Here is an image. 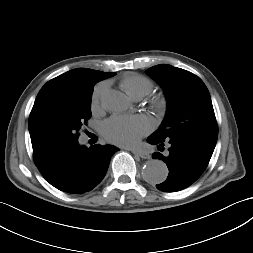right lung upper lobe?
Listing matches in <instances>:
<instances>
[{
	"label": "right lung upper lobe",
	"instance_id": "1",
	"mask_svg": "<svg viewBox=\"0 0 253 253\" xmlns=\"http://www.w3.org/2000/svg\"><path fill=\"white\" fill-rule=\"evenodd\" d=\"M116 73L113 72H102L87 68H77L68 71L64 74L57 76L56 78L48 81L40 91L49 87L60 86V85H81L89 86L95 85L97 82L106 78L114 76ZM34 157L37 166L41 167L46 165L51 158L56 154L37 142H32Z\"/></svg>",
	"mask_w": 253,
	"mask_h": 253
}]
</instances>
